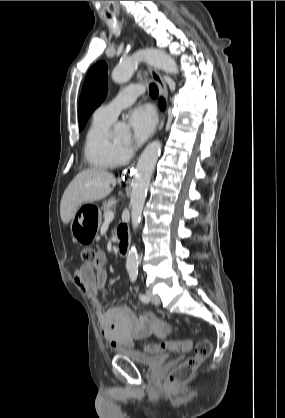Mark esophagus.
I'll use <instances>...</instances> for the list:
<instances>
[{"instance_id":"esophagus-1","label":"esophagus","mask_w":285,"mask_h":418,"mask_svg":"<svg viewBox=\"0 0 285 418\" xmlns=\"http://www.w3.org/2000/svg\"><path fill=\"white\" fill-rule=\"evenodd\" d=\"M147 67H148V70H149V73H150L152 79L155 81V83L158 86L160 95L163 98L167 99L168 89H167V84H166L164 78L162 77L160 72L158 70H156L155 68L151 67L150 65H148ZM164 123H165V114H164V112H161L160 113V122H159V125H158L157 129L161 130L164 126Z\"/></svg>"}]
</instances>
